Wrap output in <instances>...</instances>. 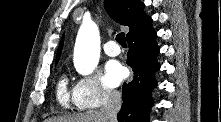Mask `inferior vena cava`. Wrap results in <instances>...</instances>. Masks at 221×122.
<instances>
[{"instance_id":"inferior-vena-cava-1","label":"inferior vena cava","mask_w":221,"mask_h":122,"mask_svg":"<svg viewBox=\"0 0 221 122\" xmlns=\"http://www.w3.org/2000/svg\"><path fill=\"white\" fill-rule=\"evenodd\" d=\"M104 96L105 103L101 112L108 122H117V113L122 104L121 94L117 91L107 90Z\"/></svg>"}]
</instances>
